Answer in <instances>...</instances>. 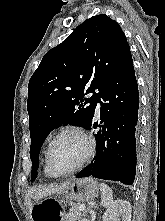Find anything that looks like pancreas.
Masks as SVG:
<instances>
[{"label":"pancreas","instance_id":"cf45deb5","mask_svg":"<svg viewBox=\"0 0 165 221\" xmlns=\"http://www.w3.org/2000/svg\"><path fill=\"white\" fill-rule=\"evenodd\" d=\"M78 204H73L70 208V212L65 216L66 221H79L82 216V212L78 210Z\"/></svg>","mask_w":165,"mask_h":221}]
</instances>
